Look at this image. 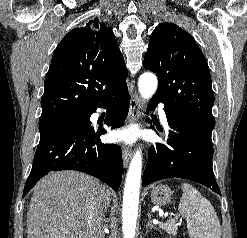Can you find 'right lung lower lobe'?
<instances>
[{"instance_id":"obj_1","label":"right lung lower lobe","mask_w":247,"mask_h":238,"mask_svg":"<svg viewBox=\"0 0 247 238\" xmlns=\"http://www.w3.org/2000/svg\"><path fill=\"white\" fill-rule=\"evenodd\" d=\"M130 97L122 86L95 107L79 113L72 122L40 137L23 197L48 172L77 170L95 176L117 191L122 178V151L118 145L103 144L99 136L107 133L102 125L92 126L90 116L97 108H109L104 123L111 129L121 127L127 117Z\"/></svg>"}]
</instances>
